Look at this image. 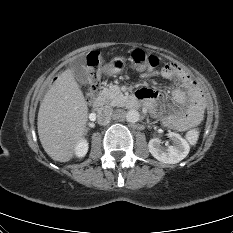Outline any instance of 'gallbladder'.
<instances>
[{"label":"gallbladder","mask_w":233,"mask_h":233,"mask_svg":"<svg viewBox=\"0 0 233 233\" xmlns=\"http://www.w3.org/2000/svg\"><path fill=\"white\" fill-rule=\"evenodd\" d=\"M86 62V56L81 54L73 61L71 65L74 76L81 85H86L88 83L89 72L86 67Z\"/></svg>","instance_id":"bac80fb5"}]
</instances>
